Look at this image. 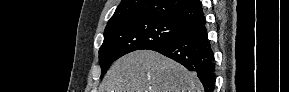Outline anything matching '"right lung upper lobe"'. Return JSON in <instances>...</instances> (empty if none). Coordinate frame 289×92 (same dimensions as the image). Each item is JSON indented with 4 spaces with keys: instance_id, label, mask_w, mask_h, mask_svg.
Listing matches in <instances>:
<instances>
[{
    "instance_id": "right-lung-upper-lobe-1",
    "label": "right lung upper lobe",
    "mask_w": 289,
    "mask_h": 92,
    "mask_svg": "<svg viewBox=\"0 0 289 92\" xmlns=\"http://www.w3.org/2000/svg\"><path fill=\"white\" fill-rule=\"evenodd\" d=\"M203 15L199 0H122L107 23L130 18H158L188 25Z\"/></svg>"
}]
</instances>
